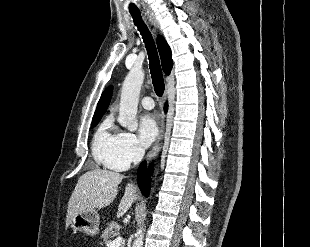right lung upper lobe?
Instances as JSON below:
<instances>
[{
    "mask_svg": "<svg viewBox=\"0 0 310 247\" xmlns=\"http://www.w3.org/2000/svg\"><path fill=\"white\" fill-rule=\"evenodd\" d=\"M157 46L161 57L163 71L165 74L169 75L173 66L170 47L160 35L157 37ZM111 95L112 87H108L101 95L93 119L104 115L110 103Z\"/></svg>",
    "mask_w": 310,
    "mask_h": 247,
    "instance_id": "obj_1",
    "label": "right lung upper lobe"
}]
</instances>
